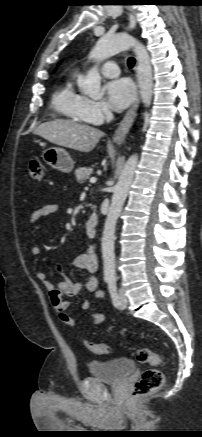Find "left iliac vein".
Returning a JSON list of instances; mask_svg holds the SVG:
<instances>
[{
	"label": "left iliac vein",
	"mask_w": 202,
	"mask_h": 437,
	"mask_svg": "<svg viewBox=\"0 0 202 437\" xmlns=\"http://www.w3.org/2000/svg\"><path fill=\"white\" fill-rule=\"evenodd\" d=\"M127 306V297L125 296V293L123 290H119V305L118 307L120 309H125Z\"/></svg>",
	"instance_id": "obj_1"
}]
</instances>
